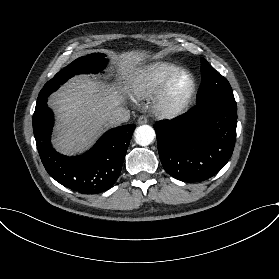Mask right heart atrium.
I'll list each match as a JSON object with an SVG mask.
<instances>
[{
  "mask_svg": "<svg viewBox=\"0 0 279 279\" xmlns=\"http://www.w3.org/2000/svg\"><path fill=\"white\" fill-rule=\"evenodd\" d=\"M123 98L126 99L125 95H123Z\"/></svg>",
  "mask_w": 279,
  "mask_h": 279,
  "instance_id": "right-heart-atrium-1",
  "label": "right heart atrium"
}]
</instances>
